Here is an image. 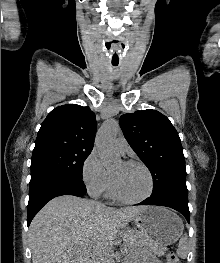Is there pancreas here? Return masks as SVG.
Segmentation results:
<instances>
[{
	"label": "pancreas",
	"instance_id": "pancreas-1",
	"mask_svg": "<svg viewBox=\"0 0 220 263\" xmlns=\"http://www.w3.org/2000/svg\"><path fill=\"white\" fill-rule=\"evenodd\" d=\"M140 232L133 229H128L124 232V248L131 250L137 247H141L139 244ZM167 249L160 247L155 248L154 251H158L160 255H163ZM109 250H107L100 259L95 260L94 263H108V257L110 255Z\"/></svg>",
	"mask_w": 220,
	"mask_h": 263
}]
</instances>
